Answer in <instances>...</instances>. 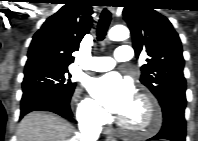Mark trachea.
I'll list each match as a JSON object with an SVG mask.
<instances>
[{"instance_id":"trachea-1","label":"trachea","mask_w":198,"mask_h":141,"mask_svg":"<svg viewBox=\"0 0 198 141\" xmlns=\"http://www.w3.org/2000/svg\"><path fill=\"white\" fill-rule=\"evenodd\" d=\"M110 21H111V13L107 9H104L100 15V20H99L98 28H97L98 41L104 40Z\"/></svg>"}]
</instances>
